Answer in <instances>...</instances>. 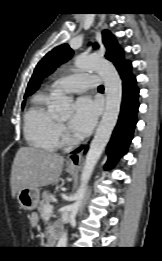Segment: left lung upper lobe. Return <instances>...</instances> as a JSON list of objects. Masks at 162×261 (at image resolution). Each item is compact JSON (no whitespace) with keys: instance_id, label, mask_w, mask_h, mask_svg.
Masks as SVG:
<instances>
[{"instance_id":"left-lung-upper-lobe-1","label":"left lung upper lobe","mask_w":162,"mask_h":261,"mask_svg":"<svg viewBox=\"0 0 162 261\" xmlns=\"http://www.w3.org/2000/svg\"><path fill=\"white\" fill-rule=\"evenodd\" d=\"M102 41L106 48L105 57L115 65L117 70L129 63L124 60L123 51L119 49L117 41L110 31L104 30L102 32ZM94 47L96 48L97 46L95 45ZM72 54L73 51L68 44L60 45L47 53L37 64L28 83L24 98L32 93V90L37 83L47 75L51 74L57 66L66 62Z\"/></svg>"}]
</instances>
